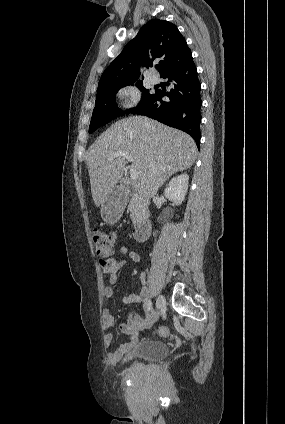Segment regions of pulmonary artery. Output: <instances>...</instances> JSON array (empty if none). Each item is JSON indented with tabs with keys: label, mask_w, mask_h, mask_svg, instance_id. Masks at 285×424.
Returning <instances> with one entry per match:
<instances>
[{
	"label": "pulmonary artery",
	"mask_w": 285,
	"mask_h": 424,
	"mask_svg": "<svg viewBox=\"0 0 285 424\" xmlns=\"http://www.w3.org/2000/svg\"><path fill=\"white\" fill-rule=\"evenodd\" d=\"M151 82L153 84H157L159 82V77L157 75H152L151 76Z\"/></svg>",
	"instance_id": "1"
}]
</instances>
